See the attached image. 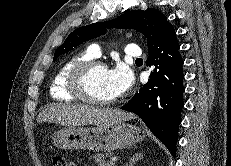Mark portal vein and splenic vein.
<instances>
[{
  "mask_svg": "<svg viewBox=\"0 0 231 166\" xmlns=\"http://www.w3.org/2000/svg\"><path fill=\"white\" fill-rule=\"evenodd\" d=\"M117 161L116 157L111 158V162L115 163Z\"/></svg>",
  "mask_w": 231,
  "mask_h": 166,
  "instance_id": "18ae733b",
  "label": "portal vein and splenic vein"
}]
</instances>
